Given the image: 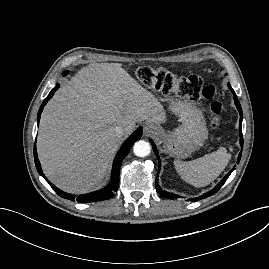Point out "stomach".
I'll return each instance as SVG.
<instances>
[{"label":"stomach","mask_w":269,"mask_h":269,"mask_svg":"<svg viewBox=\"0 0 269 269\" xmlns=\"http://www.w3.org/2000/svg\"><path fill=\"white\" fill-rule=\"evenodd\" d=\"M170 110L179 117L181 125L170 133L159 128L157 140L173 157L186 158L208 138L202 111L187 101H172Z\"/></svg>","instance_id":"stomach-1"}]
</instances>
